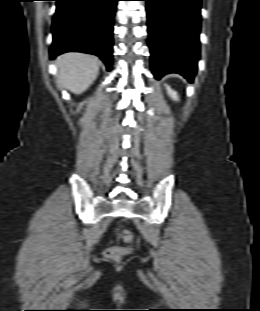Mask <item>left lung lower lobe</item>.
<instances>
[{
	"mask_svg": "<svg viewBox=\"0 0 260 311\" xmlns=\"http://www.w3.org/2000/svg\"><path fill=\"white\" fill-rule=\"evenodd\" d=\"M144 1L155 78L175 72L192 82L199 59L201 0Z\"/></svg>",
	"mask_w": 260,
	"mask_h": 311,
	"instance_id": "1",
	"label": "left lung lower lobe"
}]
</instances>
